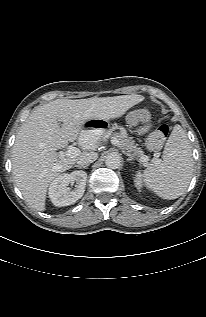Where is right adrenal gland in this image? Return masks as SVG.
Here are the masks:
<instances>
[{"instance_id":"2a0ac1e0","label":"right adrenal gland","mask_w":206,"mask_h":317,"mask_svg":"<svg viewBox=\"0 0 206 317\" xmlns=\"http://www.w3.org/2000/svg\"><path fill=\"white\" fill-rule=\"evenodd\" d=\"M75 167H77V168H79V169H81V168H83V169H87V168H88V165H87V166H83V167L78 166V165H75Z\"/></svg>"}]
</instances>
